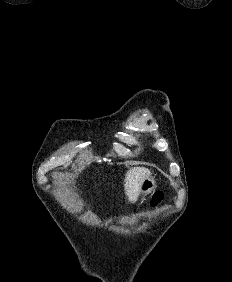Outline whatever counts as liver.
Wrapping results in <instances>:
<instances>
[{"label":"liver","mask_w":232,"mask_h":282,"mask_svg":"<svg viewBox=\"0 0 232 282\" xmlns=\"http://www.w3.org/2000/svg\"><path fill=\"white\" fill-rule=\"evenodd\" d=\"M150 176V170L145 167H133L127 171L124 187L125 194L131 203H134L141 194L143 181Z\"/></svg>","instance_id":"liver-1"}]
</instances>
